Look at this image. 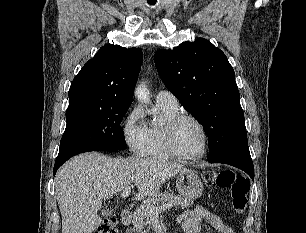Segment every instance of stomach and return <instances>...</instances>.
<instances>
[{
    "mask_svg": "<svg viewBox=\"0 0 306 233\" xmlns=\"http://www.w3.org/2000/svg\"><path fill=\"white\" fill-rule=\"evenodd\" d=\"M176 187L180 195L187 199L199 198L203 193V183L199 175L191 170L178 174Z\"/></svg>",
    "mask_w": 306,
    "mask_h": 233,
    "instance_id": "obj_1",
    "label": "stomach"
}]
</instances>
